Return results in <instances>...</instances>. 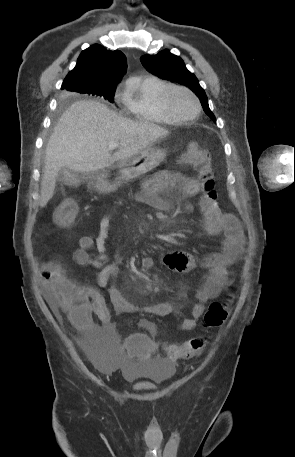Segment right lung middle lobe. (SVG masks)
<instances>
[{
    "label": "right lung middle lobe",
    "mask_w": 295,
    "mask_h": 457,
    "mask_svg": "<svg viewBox=\"0 0 295 457\" xmlns=\"http://www.w3.org/2000/svg\"><path fill=\"white\" fill-rule=\"evenodd\" d=\"M72 88H73V91H76L79 93H86V94L93 95V96H100V97H103V98L109 100L112 103L114 102V94H115L116 86H107V87L93 89L87 85L74 84L72 86Z\"/></svg>",
    "instance_id": "1"
}]
</instances>
